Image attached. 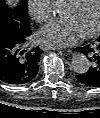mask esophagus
I'll list each match as a JSON object with an SVG mask.
<instances>
[{"label": "esophagus", "instance_id": "1", "mask_svg": "<svg viewBox=\"0 0 100 118\" xmlns=\"http://www.w3.org/2000/svg\"><path fill=\"white\" fill-rule=\"evenodd\" d=\"M40 48L44 51H47V50H57L58 48L56 47H53V46H50L48 44H41L40 45ZM68 52H71V50L69 49Z\"/></svg>", "mask_w": 100, "mask_h": 118}]
</instances>
